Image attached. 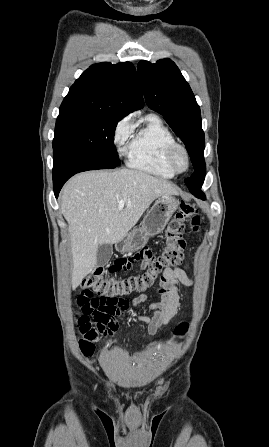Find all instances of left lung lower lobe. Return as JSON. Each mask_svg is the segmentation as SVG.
Segmentation results:
<instances>
[{
  "instance_id": "left-lung-lower-lobe-1",
  "label": "left lung lower lobe",
  "mask_w": 269,
  "mask_h": 447,
  "mask_svg": "<svg viewBox=\"0 0 269 447\" xmlns=\"http://www.w3.org/2000/svg\"><path fill=\"white\" fill-rule=\"evenodd\" d=\"M201 187H197L195 189L191 190V193H193L195 196L200 197V198H204V194L201 192L200 190Z\"/></svg>"
}]
</instances>
